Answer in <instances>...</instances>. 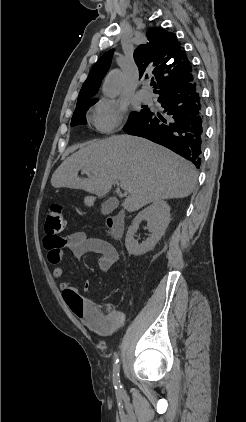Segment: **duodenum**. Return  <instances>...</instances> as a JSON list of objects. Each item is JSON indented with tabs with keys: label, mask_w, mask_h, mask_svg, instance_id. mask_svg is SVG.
Instances as JSON below:
<instances>
[{
	"label": "duodenum",
	"mask_w": 246,
	"mask_h": 422,
	"mask_svg": "<svg viewBox=\"0 0 246 422\" xmlns=\"http://www.w3.org/2000/svg\"><path fill=\"white\" fill-rule=\"evenodd\" d=\"M108 227L115 238L122 236L125 228V216L123 213H118L115 216L107 219Z\"/></svg>",
	"instance_id": "obj_1"
}]
</instances>
